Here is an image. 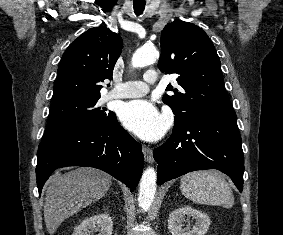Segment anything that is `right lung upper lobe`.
Returning <instances> with one entry per match:
<instances>
[{
  "label": "right lung upper lobe",
  "mask_w": 283,
  "mask_h": 235,
  "mask_svg": "<svg viewBox=\"0 0 283 235\" xmlns=\"http://www.w3.org/2000/svg\"><path fill=\"white\" fill-rule=\"evenodd\" d=\"M122 44L121 37L104 26L81 34L62 56L52 103L72 97L100 96L101 83L112 79Z\"/></svg>",
  "instance_id": "obj_1"
}]
</instances>
